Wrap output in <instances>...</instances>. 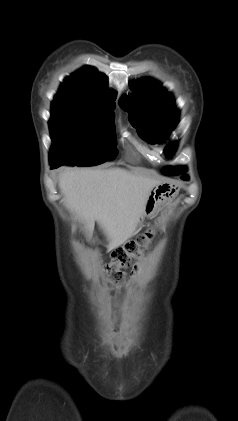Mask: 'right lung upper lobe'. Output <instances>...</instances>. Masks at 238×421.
<instances>
[{
    "mask_svg": "<svg viewBox=\"0 0 238 421\" xmlns=\"http://www.w3.org/2000/svg\"><path fill=\"white\" fill-rule=\"evenodd\" d=\"M106 77L91 66H85L66 77L55 98L82 100L102 105H115L116 95L105 93Z\"/></svg>",
    "mask_w": 238,
    "mask_h": 421,
    "instance_id": "right-lung-upper-lobe-1",
    "label": "right lung upper lobe"
}]
</instances>
